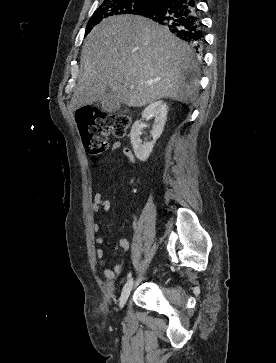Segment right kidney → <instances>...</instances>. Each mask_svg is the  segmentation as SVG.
<instances>
[{
  "instance_id": "obj_1",
  "label": "right kidney",
  "mask_w": 276,
  "mask_h": 363,
  "mask_svg": "<svg viewBox=\"0 0 276 363\" xmlns=\"http://www.w3.org/2000/svg\"><path fill=\"white\" fill-rule=\"evenodd\" d=\"M168 108L166 103L163 101H156L149 104L142 112V119H147L149 117H154V124L152 127V138L151 142H142L140 139L141 129L143 127L141 120L136 121L132 125L130 132L131 144L135 153V156L140 161H146L156 143V140L161 136L164 125L167 118Z\"/></svg>"
}]
</instances>
